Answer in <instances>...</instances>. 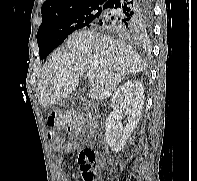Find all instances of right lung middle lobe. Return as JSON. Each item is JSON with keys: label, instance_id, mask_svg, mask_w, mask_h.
<instances>
[{"label": "right lung middle lobe", "instance_id": "1", "mask_svg": "<svg viewBox=\"0 0 197 181\" xmlns=\"http://www.w3.org/2000/svg\"><path fill=\"white\" fill-rule=\"evenodd\" d=\"M101 5L84 6L42 19L37 32L40 59L64 42L75 30L90 27L102 14Z\"/></svg>", "mask_w": 197, "mask_h": 181}]
</instances>
